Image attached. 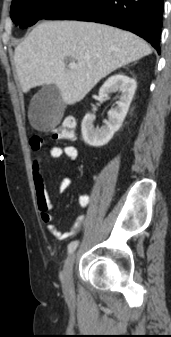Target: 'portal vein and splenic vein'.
I'll return each mask as SVG.
<instances>
[{"mask_svg": "<svg viewBox=\"0 0 171 337\" xmlns=\"http://www.w3.org/2000/svg\"><path fill=\"white\" fill-rule=\"evenodd\" d=\"M68 67H69L70 69H76V68H77V63H76V62H70V63L68 64Z\"/></svg>", "mask_w": 171, "mask_h": 337, "instance_id": "portal-vein-and-splenic-vein-1", "label": "portal vein and splenic vein"}]
</instances>
